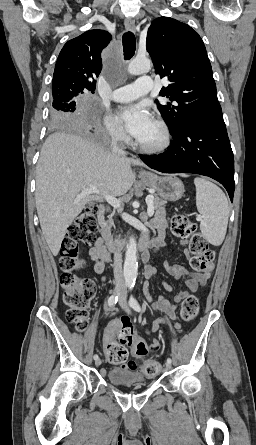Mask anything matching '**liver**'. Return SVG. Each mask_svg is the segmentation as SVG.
I'll return each mask as SVG.
<instances>
[{
	"label": "liver",
	"instance_id": "6515ba94",
	"mask_svg": "<svg viewBox=\"0 0 256 445\" xmlns=\"http://www.w3.org/2000/svg\"><path fill=\"white\" fill-rule=\"evenodd\" d=\"M135 165L144 166L86 136L56 132L46 139L36 167L35 200L43 235L54 256L67 228L88 203L128 192L135 181ZM90 186L99 194L81 197V191Z\"/></svg>",
	"mask_w": 256,
	"mask_h": 445
}]
</instances>
